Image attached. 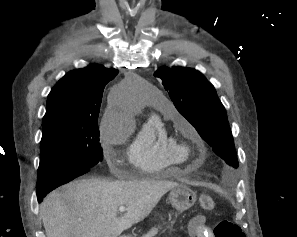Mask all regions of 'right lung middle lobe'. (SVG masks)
<instances>
[{"instance_id": "dd1d6c3e", "label": "right lung middle lobe", "mask_w": 297, "mask_h": 237, "mask_svg": "<svg viewBox=\"0 0 297 237\" xmlns=\"http://www.w3.org/2000/svg\"><path fill=\"white\" fill-rule=\"evenodd\" d=\"M43 126L37 189L48 190L102 161L97 120L62 119Z\"/></svg>"}]
</instances>
